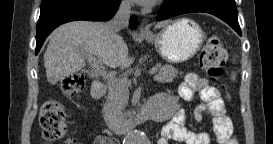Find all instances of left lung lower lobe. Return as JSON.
I'll list each match as a JSON object with an SVG mask.
<instances>
[{"instance_id": "1", "label": "left lung lower lobe", "mask_w": 273, "mask_h": 144, "mask_svg": "<svg viewBox=\"0 0 273 144\" xmlns=\"http://www.w3.org/2000/svg\"><path fill=\"white\" fill-rule=\"evenodd\" d=\"M190 12L213 14L242 35L235 0H164L156 20L161 21Z\"/></svg>"}]
</instances>
